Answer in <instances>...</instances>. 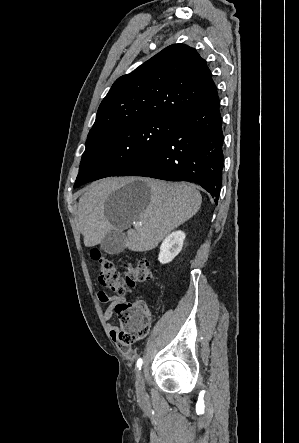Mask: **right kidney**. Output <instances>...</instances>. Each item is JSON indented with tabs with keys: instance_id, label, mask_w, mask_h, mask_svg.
Masks as SVG:
<instances>
[{
	"instance_id": "1",
	"label": "right kidney",
	"mask_w": 299,
	"mask_h": 443,
	"mask_svg": "<svg viewBox=\"0 0 299 443\" xmlns=\"http://www.w3.org/2000/svg\"><path fill=\"white\" fill-rule=\"evenodd\" d=\"M185 233L182 231H175L168 235L160 246V253L158 260L163 263L171 262L182 250Z\"/></svg>"
}]
</instances>
